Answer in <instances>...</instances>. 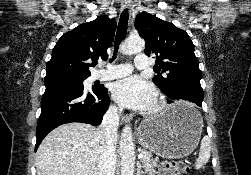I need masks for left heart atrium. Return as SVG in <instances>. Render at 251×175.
Listing matches in <instances>:
<instances>
[{
	"label": "left heart atrium",
	"mask_w": 251,
	"mask_h": 175,
	"mask_svg": "<svg viewBox=\"0 0 251 175\" xmlns=\"http://www.w3.org/2000/svg\"><path fill=\"white\" fill-rule=\"evenodd\" d=\"M114 99L123 106L140 110L151 109L156 102L154 87L139 76H128L112 86Z\"/></svg>",
	"instance_id": "1"
}]
</instances>
